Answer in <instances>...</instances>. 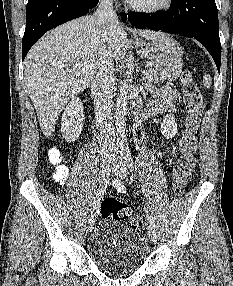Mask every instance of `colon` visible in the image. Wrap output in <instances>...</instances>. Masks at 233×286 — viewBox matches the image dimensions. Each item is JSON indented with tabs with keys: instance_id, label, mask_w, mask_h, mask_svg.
Here are the masks:
<instances>
[{
	"instance_id": "1",
	"label": "colon",
	"mask_w": 233,
	"mask_h": 286,
	"mask_svg": "<svg viewBox=\"0 0 233 286\" xmlns=\"http://www.w3.org/2000/svg\"><path fill=\"white\" fill-rule=\"evenodd\" d=\"M183 103L185 107L184 130L179 142V158L173 171V190L176 194H181L187 186L192 171L196 164L195 152L197 148V137L202 114V96L198 85L190 72L185 71L181 77ZM52 164L57 166L55 178L64 181L68 173L61 170V153L58 149L49 152ZM101 215L103 218L115 220H127L133 229L144 228L143 220L138 216H132L127 205L113 198H106L101 203Z\"/></svg>"
}]
</instances>
